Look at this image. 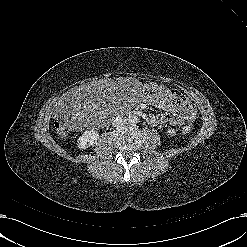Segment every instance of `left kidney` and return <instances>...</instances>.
<instances>
[{"mask_svg":"<svg viewBox=\"0 0 247 247\" xmlns=\"http://www.w3.org/2000/svg\"><path fill=\"white\" fill-rule=\"evenodd\" d=\"M167 133L170 136H174L176 134V131H175V129H168Z\"/></svg>","mask_w":247,"mask_h":247,"instance_id":"1","label":"left kidney"}]
</instances>
